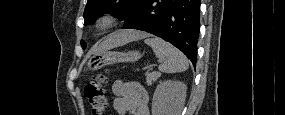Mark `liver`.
Instances as JSON below:
<instances>
[{
  "instance_id": "6515ba94",
  "label": "liver",
  "mask_w": 285,
  "mask_h": 115,
  "mask_svg": "<svg viewBox=\"0 0 285 115\" xmlns=\"http://www.w3.org/2000/svg\"><path fill=\"white\" fill-rule=\"evenodd\" d=\"M145 32L135 30H122L109 35L99 46L96 48L95 53H103L112 48L123 46L135 40H140L147 37Z\"/></svg>"
}]
</instances>
